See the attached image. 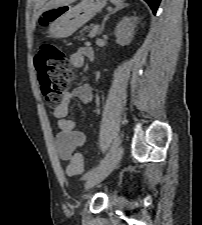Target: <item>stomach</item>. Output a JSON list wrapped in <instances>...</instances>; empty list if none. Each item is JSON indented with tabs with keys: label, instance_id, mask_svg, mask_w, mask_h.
<instances>
[{
	"label": "stomach",
	"instance_id": "stomach-1",
	"mask_svg": "<svg viewBox=\"0 0 202 225\" xmlns=\"http://www.w3.org/2000/svg\"><path fill=\"white\" fill-rule=\"evenodd\" d=\"M107 0H82L78 5L59 6L46 10L53 20L48 26L51 38H67L91 20L97 12L106 6Z\"/></svg>",
	"mask_w": 202,
	"mask_h": 225
}]
</instances>
